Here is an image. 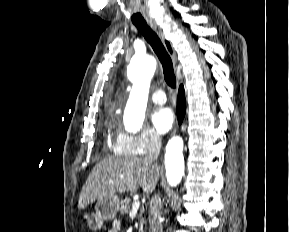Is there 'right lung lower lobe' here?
Instances as JSON below:
<instances>
[{
    "mask_svg": "<svg viewBox=\"0 0 289 232\" xmlns=\"http://www.w3.org/2000/svg\"><path fill=\"white\" fill-rule=\"evenodd\" d=\"M185 93H184V88L181 85L179 87V92H178V99H177V117H178V122L182 123L183 118L185 116Z\"/></svg>",
    "mask_w": 289,
    "mask_h": 232,
    "instance_id": "98d812e1",
    "label": "right lung lower lobe"
}]
</instances>
